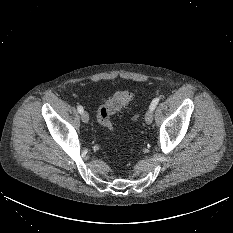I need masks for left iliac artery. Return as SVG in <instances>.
Instances as JSON below:
<instances>
[{
    "label": "left iliac artery",
    "mask_w": 233,
    "mask_h": 233,
    "mask_svg": "<svg viewBox=\"0 0 233 233\" xmlns=\"http://www.w3.org/2000/svg\"><path fill=\"white\" fill-rule=\"evenodd\" d=\"M158 102H159V98L153 99V101L151 102V105H150V109L154 110L156 108Z\"/></svg>",
    "instance_id": "obj_1"
}]
</instances>
